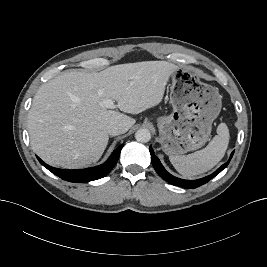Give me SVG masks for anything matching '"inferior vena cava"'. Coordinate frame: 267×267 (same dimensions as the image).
I'll return each instance as SVG.
<instances>
[{"mask_svg": "<svg viewBox=\"0 0 267 267\" xmlns=\"http://www.w3.org/2000/svg\"><path fill=\"white\" fill-rule=\"evenodd\" d=\"M106 130L107 133L112 136L119 135L124 132L123 127L118 123H110L107 126Z\"/></svg>", "mask_w": 267, "mask_h": 267, "instance_id": "inferior-vena-cava-1", "label": "inferior vena cava"}]
</instances>
